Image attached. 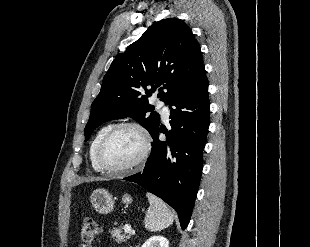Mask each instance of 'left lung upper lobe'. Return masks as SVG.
I'll use <instances>...</instances> for the list:
<instances>
[{
    "instance_id": "5c2ea615",
    "label": "left lung upper lobe",
    "mask_w": 310,
    "mask_h": 247,
    "mask_svg": "<svg viewBox=\"0 0 310 247\" xmlns=\"http://www.w3.org/2000/svg\"><path fill=\"white\" fill-rule=\"evenodd\" d=\"M202 67L200 45L182 20L169 18L155 23L112 62L91 105L85 140L102 123L127 116L152 135L160 116L148 97L158 91L157 97L168 104Z\"/></svg>"
}]
</instances>
